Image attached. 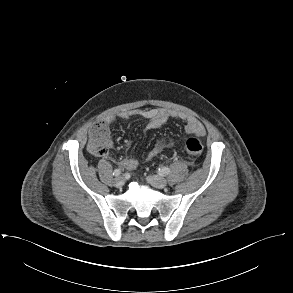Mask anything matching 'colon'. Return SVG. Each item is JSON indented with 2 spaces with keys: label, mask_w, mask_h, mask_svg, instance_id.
<instances>
[{
  "label": "colon",
  "mask_w": 293,
  "mask_h": 293,
  "mask_svg": "<svg viewBox=\"0 0 293 293\" xmlns=\"http://www.w3.org/2000/svg\"><path fill=\"white\" fill-rule=\"evenodd\" d=\"M111 147L106 125L102 121L94 123L89 131V148L95 156H102ZM185 151L195 157L202 153V145L196 137H188L184 142Z\"/></svg>",
  "instance_id": "1"
}]
</instances>
